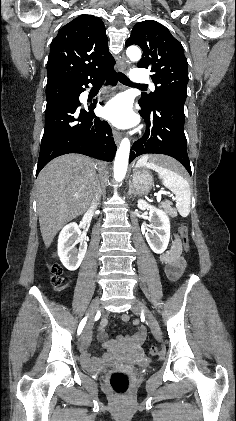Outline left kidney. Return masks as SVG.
I'll use <instances>...</instances> for the list:
<instances>
[{"label": "left kidney", "mask_w": 236, "mask_h": 421, "mask_svg": "<svg viewBox=\"0 0 236 421\" xmlns=\"http://www.w3.org/2000/svg\"><path fill=\"white\" fill-rule=\"evenodd\" d=\"M138 208H141V211H146V208H148V221L151 223V229L145 233L146 241L154 253L161 255L168 247L170 239V221L166 213L160 211V208L148 204V202L142 200V198H139L138 200Z\"/></svg>", "instance_id": "obj_1"}]
</instances>
